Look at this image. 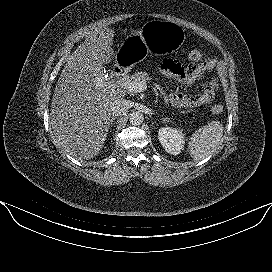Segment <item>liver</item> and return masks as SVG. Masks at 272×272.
I'll list each match as a JSON object with an SVG mask.
<instances>
[{
	"label": "liver",
	"instance_id": "liver-1",
	"mask_svg": "<svg viewBox=\"0 0 272 272\" xmlns=\"http://www.w3.org/2000/svg\"><path fill=\"white\" fill-rule=\"evenodd\" d=\"M114 35L111 28L89 33L69 57L52 97L51 123L57 145L79 159L100 153L110 127V106L126 94L107 83L102 65L114 55ZM98 78L104 85L100 86Z\"/></svg>",
	"mask_w": 272,
	"mask_h": 272
}]
</instances>
